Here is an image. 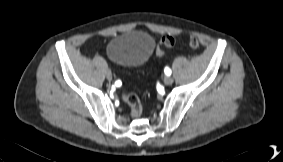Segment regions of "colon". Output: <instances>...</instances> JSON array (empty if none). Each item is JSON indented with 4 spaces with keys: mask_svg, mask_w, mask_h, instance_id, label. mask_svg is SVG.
<instances>
[{
    "mask_svg": "<svg viewBox=\"0 0 283 162\" xmlns=\"http://www.w3.org/2000/svg\"><path fill=\"white\" fill-rule=\"evenodd\" d=\"M175 39L171 35H164L157 47V55L159 57L165 56V49H170L174 46ZM188 46L192 49H196L199 46V42L196 37L191 36L188 39ZM122 100L129 106L130 113L133 117H137L142 112V104L138 96L134 93H123Z\"/></svg>",
    "mask_w": 283,
    "mask_h": 162,
    "instance_id": "1",
    "label": "colon"
}]
</instances>
